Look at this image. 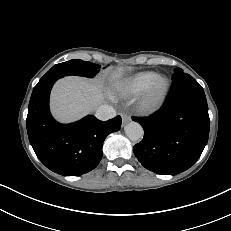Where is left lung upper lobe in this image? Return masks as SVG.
Wrapping results in <instances>:
<instances>
[{
  "mask_svg": "<svg viewBox=\"0 0 231 231\" xmlns=\"http://www.w3.org/2000/svg\"><path fill=\"white\" fill-rule=\"evenodd\" d=\"M176 73H183V70L180 69V68H176V69H175V74H176Z\"/></svg>",
  "mask_w": 231,
  "mask_h": 231,
  "instance_id": "1",
  "label": "left lung upper lobe"
}]
</instances>
